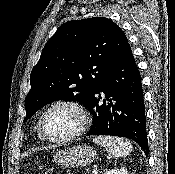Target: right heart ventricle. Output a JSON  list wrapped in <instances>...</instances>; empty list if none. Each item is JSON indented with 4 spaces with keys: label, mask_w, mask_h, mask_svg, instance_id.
Returning <instances> with one entry per match:
<instances>
[{
    "label": "right heart ventricle",
    "mask_w": 175,
    "mask_h": 174,
    "mask_svg": "<svg viewBox=\"0 0 175 174\" xmlns=\"http://www.w3.org/2000/svg\"><path fill=\"white\" fill-rule=\"evenodd\" d=\"M38 136H39L40 138H42L41 135H40V133H39V131H38Z\"/></svg>",
    "instance_id": "1"
}]
</instances>
